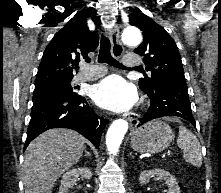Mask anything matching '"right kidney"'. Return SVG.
<instances>
[{
  "instance_id": "1",
  "label": "right kidney",
  "mask_w": 221,
  "mask_h": 193,
  "mask_svg": "<svg viewBox=\"0 0 221 193\" xmlns=\"http://www.w3.org/2000/svg\"><path fill=\"white\" fill-rule=\"evenodd\" d=\"M79 176L89 180L92 177V173L90 168L82 167L69 170L66 172L61 180V186L59 188V193H68L69 189L72 188L75 184Z\"/></svg>"
}]
</instances>
